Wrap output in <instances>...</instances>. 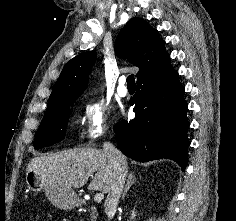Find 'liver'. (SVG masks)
I'll list each match as a JSON object with an SVG mask.
<instances>
[{"label": "liver", "mask_w": 236, "mask_h": 221, "mask_svg": "<svg viewBox=\"0 0 236 221\" xmlns=\"http://www.w3.org/2000/svg\"><path fill=\"white\" fill-rule=\"evenodd\" d=\"M26 171L45 175L69 188L83 187L95 173L88 188L103 193H108L112 180V167L104 151L94 148H75L35 157L27 165Z\"/></svg>", "instance_id": "liver-1"}]
</instances>
